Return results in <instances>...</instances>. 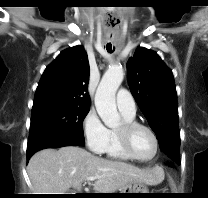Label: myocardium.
<instances>
[{
  "mask_svg": "<svg viewBox=\"0 0 208 198\" xmlns=\"http://www.w3.org/2000/svg\"><path fill=\"white\" fill-rule=\"evenodd\" d=\"M138 128H142V129L147 130L154 139V143H155L154 153L151 157H149L147 159H142V158L138 157L133 152L132 147H131V135H132L133 131ZM116 135H117L119 143H120L122 149L124 150V152L135 161L142 162V163L150 162L157 156V154L159 152L160 145H159V139H158L156 132L150 126H148L144 123L134 121V120L133 121H124L122 123L121 127L116 130Z\"/></svg>",
  "mask_w": 208,
  "mask_h": 198,
  "instance_id": "f54148a6",
  "label": "myocardium"
}]
</instances>
